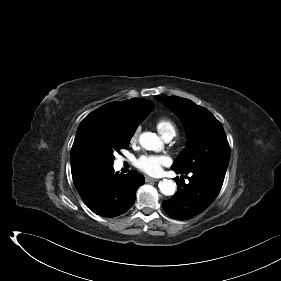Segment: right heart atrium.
Returning <instances> with one entry per match:
<instances>
[{
	"mask_svg": "<svg viewBox=\"0 0 281 281\" xmlns=\"http://www.w3.org/2000/svg\"><path fill=\"white\" fill-rule=\"evenodd\" d=\"M139 128H137L135 130V132L133 133L132 137H131V142H136L137 138H138V134H139Z\"/></svg>",
	"mask_w": 281,
	"mask_h": 281,
	"instance_id": "1",
	"label": "right heart atrium"
}]
</instances>
